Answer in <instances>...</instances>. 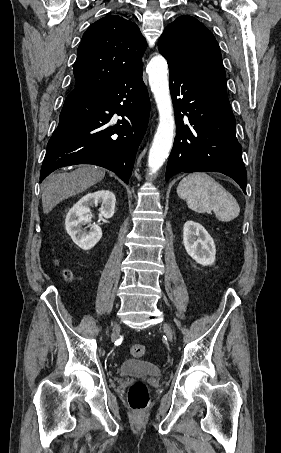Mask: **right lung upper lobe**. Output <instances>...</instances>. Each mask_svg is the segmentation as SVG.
Listing matches in <instances>:
<instances>
[{
    "label": "right lung upper lobe",
    "instance_id": "1",
    "mask_svg": "<svg viewBox=\"0 0 281 453\" xmlns=\"http://www.w3.org/2000/svg\"><path fill=\"white\" fill-rule=\"evenodd\" d=\"M146 40L138 26L118 15H107L83 34L73 65L74 87L115 83L139 64Z\"/></svg>",
    "mask_w": 281,
    "mask_h": 453
}]
</instances>
